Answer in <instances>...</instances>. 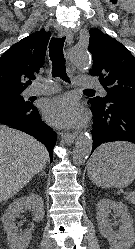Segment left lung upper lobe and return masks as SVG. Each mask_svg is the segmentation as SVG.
<instances>
[{
  "instance_id": "left-lung-upper-lobe-1",
  "label": "left lung upper lobe",
  "mask_w": 135,
  "mask_h": 249,
  "mask_svg": "<svg viewBox=\"0 0 135 249\" xmlns=\"http://www.w3.org/2000/svg\"><path fill=\"white\" fill-rule=\"evenodd\" d=\"M88 49L93 55L90 75L99 79L107 95L89 102L105 105L110 99L135 100V57L116 39L90 29Z\"/></svg>"
}]
</instances>
